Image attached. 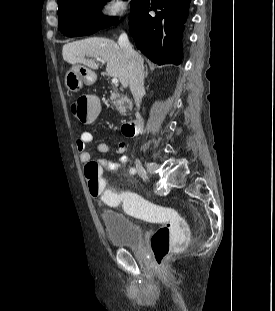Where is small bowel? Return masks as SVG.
<instances>
[{
  "label": "small bowel",
  "mask_w": 275,
  "mask_h": 311,
  "mask_svg": "<svg viewBox=\"0 0 275 311\" xmlns=\"http://www.w3.org/2000/svg\"><path fill=\"white\" fill-rule=\"evenodd\" d=\"M93 141L94 135L89 131H82L77 135L75 146L79 153L80 161L85 165L92 161L88 145L91 144ZM97 150L103 154L113 152L119 156L116 160H110L107 158H99L95 160L94 162L98 164L100 169L103 168L105 170L114 171L128 162V156L125 154L126 144L124 142H118L115 149L111 148L105 142H99L97 144Z\"/></svg>",
  "instance_id": "obj_1"
}]
</instances>
